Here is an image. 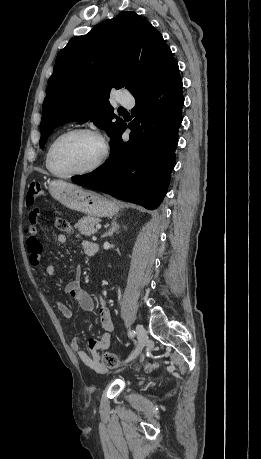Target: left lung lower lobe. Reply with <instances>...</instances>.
<instances>
[{
    "mask_svg": "<svg viewBox=\"0 0 261 459\" xmlns=\"http://www.w3.org/2000/svg\"><path fill=\"white\" fill-rule=\"evenodd\" d=\"M134 97V119L114 137L109 159L92 173L72 177V182L154 210L167 193L182 122L184 98L177 61ZM127 127L129 141L123 142Z\"/></svg>",
    "mask_w": 261,
    "mask_h": 459,
    "instance_id": "left-lung-lower-lobe-1",
    "label": "left lung lower lobe"
}]
</instances>
